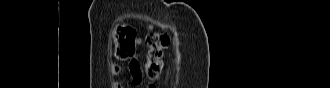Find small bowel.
<instances>
[{"mask_svg": "<svg viewBox=\"0 0 330 88\" xmlns=\"http://www.w3.org/2000/svg\"><path fill=\"white\" fill-rule=\"evenodd\" d=\"M135 45L136 47L141 45V39L139 37L135 38ZM129 74H130V80L134 85H139L142 81V72L138 65V63H135V66L133 67L130 63L129 65ZM125 71V67L121 64L113 65L111 68V75L112 76H118L121 75ZM115 88H121V85L116 82L114 83Z\"/></svg>", "mask_w": 330, "mask_h": 88, "instance_id": "1", "label": "small bowel"}]
</instances>
